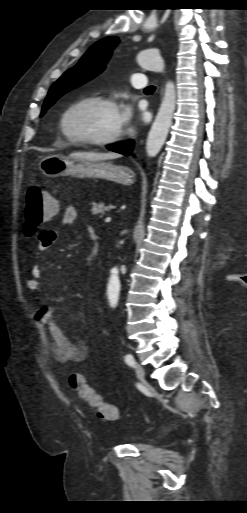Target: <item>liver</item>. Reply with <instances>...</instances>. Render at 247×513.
Segmentation results:
<instances>
[{
    "label": "liver",
    "instance_id": "liver-1",
    "mask_svg": "<svg viewBox=\"0 0 247 513\" xmlns=\"http://www.w3.org/2000/svg\"><path fill=\"white\" fill-rule=\"evenodd\" d=\"M71 157L84 160H110L119 157V154L114 152L99 153V152H74L70 154Z\"/></svg>",
    "mask_w": 247,
    "mask_h": 513
}]
</instances>
